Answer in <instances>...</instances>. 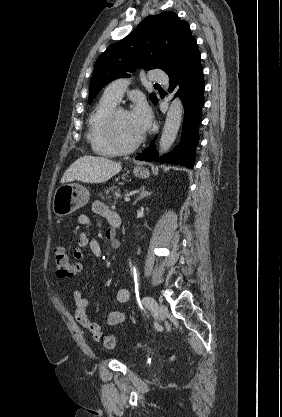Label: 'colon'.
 Masks as SVG:
<instances>
[{"label":"colon","mask_w":282,"mask_h":417,"mask_svg":"<svg viewBox=\"0 0 282 417\" xmlns=\"http://www.w3.org/2000/svg\"><path fill=\"white\" fill-rule=\"evenodd\" d=\"M54 262L57 274L60 277H70L79 268V266L74 265L63 248H58L55 251ZM115 342L116 337L114 335H109L107 339H104L103 346L104 348H113Z\"/></svg>","instance_id":"colon-1"}]
</instances>
